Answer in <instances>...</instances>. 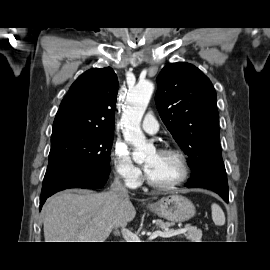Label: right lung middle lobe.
I'll return each instance as SVG.
<instances>
[{"label": "right lung middle lobe", "instance_id": "1", "mask_svg": "<svg viewBox=\"0 0 270 270\" xmlns=\"http://www.w3.org/2000/svg\"><path fill=\"white\" fill-rule=\"evenodd\" d=\"M113 133V131H90L77 128L52 130L46 173L75 162L88 171L110 172Z\"/></svg>", "mask_w": 270, "mask_h": 270}]
</instances>
